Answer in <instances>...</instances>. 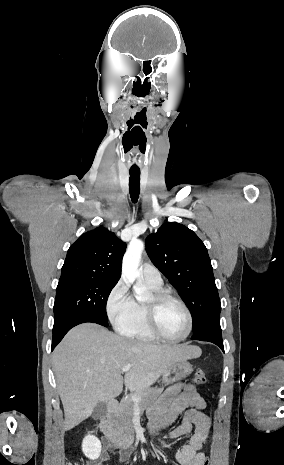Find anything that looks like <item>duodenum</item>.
<instances>
[{"label":"duodenum","instance_id":"410a0bca","mask_svg":"<svg viewBox=\"0 0 284 465\" xmlns=\"http://www.w3.org/2000/svg\"><path fill=\"white\" fill-rule=\"evenodd\" d=\"M118 408V402L116 400H112L106 406L103 414L99 418L97 425L104 437L114 446H127L131 443L130 436H121L119 435L111 426L109 420L112 418L113 414L115 413L116 409Z\"/></svg>","mask_w":284,"mask_h":465}]
</instances>
